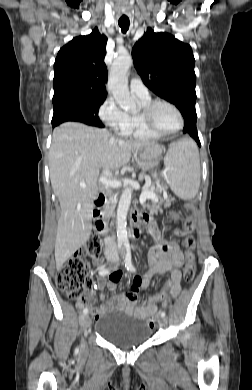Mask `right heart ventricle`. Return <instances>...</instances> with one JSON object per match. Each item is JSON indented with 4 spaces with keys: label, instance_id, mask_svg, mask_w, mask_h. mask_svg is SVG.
Listing matches in <instances>:
<instances>
[{
    "label": "right heart ventricle",
    "instance_id": "right-heart-ventricle-1",
    "mask_svg": "<svg viewBox=\"0 0 252 390\" xmlns=\"http://www.w3.org/2000/svg\"><path fill=\"white\" fill-rule=\"evenodd\" d=\"M141 106H145L152 101L151 97L141 99L138 98ZM129 118V131L128 134L124 137H128L137 141H152L161 138V136L153 135L148 132L140 120L139 114L128 115Z\"/></svg>",
    "mask_w": 252,
    "mask_h": 390
}]
</instances>
